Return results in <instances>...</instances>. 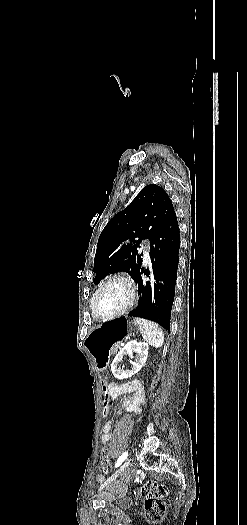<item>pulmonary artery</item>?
Returning a JSON list of instances; mask_svg holds the SVG:
<instances>
[{
  "instance_id": "obj_1",
  "label": "pulmonary artery",
  "mask_w": 247,
  "mask_h": 525,
  "mask_svg": "<svg viewBox=\"0 0 247 525\" xmlns=\"http://www.w3.org/2000/svg\"><path fill=\"white\" fill-rule=\"evenodd\" d=\"M139 251L141 252V258L143 259L142 260L143 265L146 267L151 266L153 263V260L150 257L149 240L147 238L143 239L142 247L139 249Z\"/></svg>"
}]
</instances>
